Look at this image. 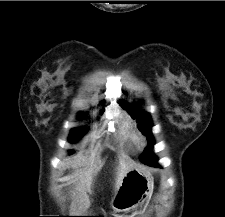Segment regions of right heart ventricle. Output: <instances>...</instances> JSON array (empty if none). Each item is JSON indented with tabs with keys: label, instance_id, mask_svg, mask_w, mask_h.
I'll list each match as a JSON object with an SVG mask.
<instances>
[{
	"label": "right heart ventricle",
	"instance_id": "obj_1",
	"mask_svg": "<svg viewBox=\"0 0 225 217\" xmlns=\"http://www.w3.org/2000/svg\"><path fill=\"white\" fill-rule=\"evenodd\" d=\"M120 134L124 137H131V134L128 130V126L126 124H122Z\"/></svg>",
	"mask_w": 225,
	"mask_h": 217
}]
</instances>
